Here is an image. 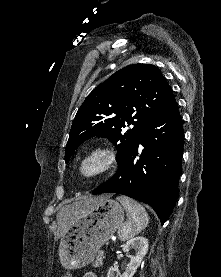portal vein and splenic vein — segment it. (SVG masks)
Here are the masks:
<instances>
[{"label": "portal vein and splenic vein", "mask_w": 221, "mask_h": 277, "mask_svg": "<svg viewBox=\"0 0 221 277\" xmlns=\"http://www.w3.org/2000/svg\"><path fill=\"white\" fill-rule=\"evenodd\" d=\"M101 253H102V254H104V251H103V250H101Z\"/></svg>", "instance_id": "1"}]
</instances>
